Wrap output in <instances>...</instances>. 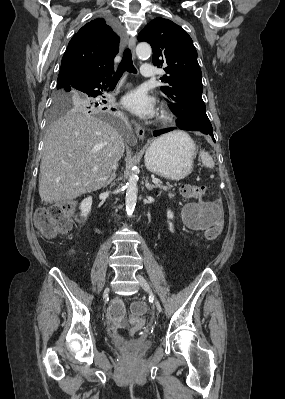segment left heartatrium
Returning a JSON list of instances; mask_svg holds the SVG:
<instances>
[{"label":"left heart atrium","instance_id":"left-heart-atrium-1","mask_svg":"<svg viewBox=\"0 0 285 399\" xmlns=\"http://www.w3.org/2000/svg\"><path fill=\"white\" fill-rule=\"evenodd\" d=\"M123 106L141 118L152 117L156 113L155 101L143 89L137 88L122 99Z\"/></svg>","mask_w":285,"mask_h":399}]
</instances>
